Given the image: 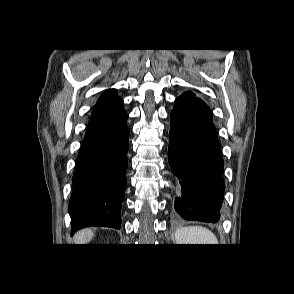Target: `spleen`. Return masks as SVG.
I'll use <instances>...</instances> for the list:
<instances>
[{
  "label": "spleen",
  "mask_w": 294,
  "mask_h": 294,
  "mask_svg": "<svg viewBox=\"0 0 294 294\" xmlns=\"http://www.w3.org/2000/svg\"><path fill=\"white\" fill-rule=\"evenodd\" d=\"M177 244H218L217 237L202 226L181 227L175 232Z\"/></svg>",
  "instance_id": "spleen-1"
}]
</instances>
